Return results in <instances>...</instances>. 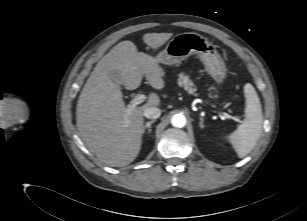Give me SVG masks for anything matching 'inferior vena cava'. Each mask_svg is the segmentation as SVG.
<instances>
[{
  "mask_svg": "<svg viewBox=\"0 0 307 221\" xmlns=\"http://www.w3.org/2000/svg\"><path fill=\"white\" fill-rule=\"evenodd\" d=\"M143 115L149 119H157L161 115V110L158 107H148L144 110Z\"/></svg>",
  "mask_w": 307,
  "mask_h": 221,
  "instance_id": "602c4592",
  "label": "inferior vena cava"
}]
</instances>
